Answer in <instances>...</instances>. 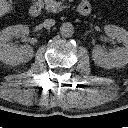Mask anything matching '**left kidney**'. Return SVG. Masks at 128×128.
<instances>
[{
	"label": "left kidney",
	"mask_w": 128,
	"mask_h": 128,
	"mask_svg": "<svg viewBox=\"0 0 128 128\" xmlns=\"http://www.w3.org/2000/svg\"><path fill=\"white\" fill-rule=\"evenodd\" d=\"M104 31L112 39L123 42L124 46L114 49L111 53H106L100 46H95L92 51L94 62L109 69L128 64V31L115 25H106Z\"/></svg>",
	"instance_id": "left-kidney-1"
}]
</instances>
